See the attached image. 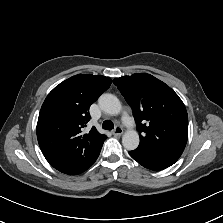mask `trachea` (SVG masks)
Here are the masks:
<instances>
[{
	"instance_id": "1",
	"label": "trachea",
	"mask_w": 223,
	"mask_h": 223,
	"mask_svg": "<svg viewBox=\"0 0 223 223\" xmlns=\"http://www.w3.org/2000/svg\"><path fill=\"white\" fill-rule=\"evenodd\" d=\"M103 129L111 130L114 128V124L110 120H105L102 124Z\"/></svg>"
}]
</instances>
